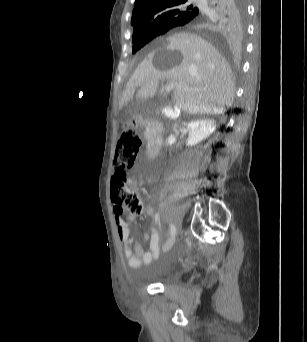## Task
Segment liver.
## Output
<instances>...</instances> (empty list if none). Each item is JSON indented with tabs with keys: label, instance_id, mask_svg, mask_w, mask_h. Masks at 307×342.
Returning <instances> with one entry per match:
<instances>
[{
	"label": "liver",
	"instance_id": "liver-1",
	"mask_svg": "<svg viewBox=\"0 0 307 342\" xmlns=\"http://www.w3.org/2000/svg\"><path fill=\"white\" fill-rule=\"evenodd\" d=\"M163 78L175 82V104L187 114H222L233 102L235 86L226 60L200 36L180 32L144 56L126 84L119 110L134 96L153 98Z\"/></svg>",
	"mask_w": 307,
	"mask_h": 342
}]
</instances>
